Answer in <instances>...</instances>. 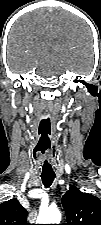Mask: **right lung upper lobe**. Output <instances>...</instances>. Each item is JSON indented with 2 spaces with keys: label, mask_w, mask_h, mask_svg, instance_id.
I'll use <instances>...</instances> for the list:
<instances>
[{
  "label": "right lung upper lobe",
  "mask_w": 101,
  "mask_h": 225,
  "mask_svg": "<svg viewBox=\"0 0 101 225\" xmlns=\"http://www.w3.org/2000/svg\"><path fill=\"white\" fill-rule=\"evenodd\" d=\"M27 211L13 198L0 204V225H29Z\"/></svg>",
  "instance_id": "cb5924a9"
}]
</instances>
